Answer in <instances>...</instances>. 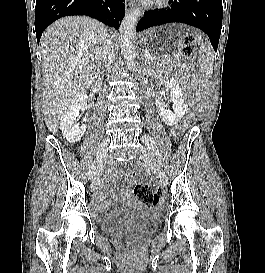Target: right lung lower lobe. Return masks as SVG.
Masks as SVG:
<instances>
[{
	"label": "right lung lower lobe",
	"mask_w": 265,
	"mask_h": 273,
	"mask_svg": "<svg viewBox=\"0 0 265 273\" xmlns=\"http://www.w3.org/2000/svg\"><path fill=\"white\" fill-rule=\"evenodd\" d=\"M125 0H36L35 30L39 43L45 28L70 15H87L106 25L119 28L125 15Z\"/></svg>",
	"instance_id": "right-lung-lower-lobe-1"
}]
</instances>
